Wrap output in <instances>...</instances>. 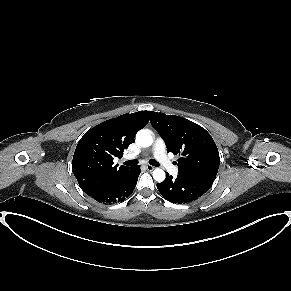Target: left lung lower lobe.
Wrapping results in <instances>:
<instances>
[{
	"mask_svg": "<svg viewBox=\"0 0 291 291\" xmlns=\"http://www.w3.org/2000/svg\"><path fill=\"white\" fill-rule=\"evenodd\" d=\"M214 181L196 177L167 175L162 183L157 184L160 194L172 203H189L206 193Z\"/></svg>",
	"mask_w": 291,
	"mask_h": 291,
	"instance_id": "0a47b994",
	"label": "left lung lower lobe"
}]
</instances>
